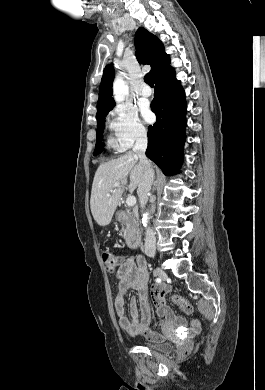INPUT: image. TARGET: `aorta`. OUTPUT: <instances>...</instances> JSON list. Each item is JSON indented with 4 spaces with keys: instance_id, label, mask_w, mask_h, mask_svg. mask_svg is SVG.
<instances>
[{
    "instance_id": "1",
    "label": "aorta",
    "mask_w": 265,
    "mask_h": 390,
    "mask_svg": "<svg viewBox=\"0 0 265 390\" xmlns=\"http://www.w3.org/2000/svg\"><path fill=\"white\" fill-rule=\"evenodd\" d=\"M113 94L116 102H123L126 96L129 94V87L120 75L116 77L113 83ZM148 222L149 214L145 213L142 217L143 226L147 227Z\"/></svg>"
}]
</instances>
